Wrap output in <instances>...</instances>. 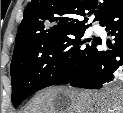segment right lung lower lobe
Here are the masks:
<instances>
[{"instance_id":"right-lung-lower-lobe-1","label":"right lung lower lobe","mask_w":123,"mask_h":113,"mask_svg":"<svg viewBox=\"0 0 123 113\" xmlns=\"http://www.w3.org/2000/svg\"><path fill=\"white\" fill-rule=\"evenodd\" d=\"M100 24L115 36V44L110 50H105L100 41L81 74L69 82L72 86L102 88L114 79L116 70L123 68V0L104 15Z\"/></svg>"}]
</instances>
